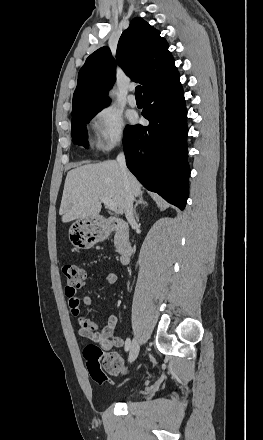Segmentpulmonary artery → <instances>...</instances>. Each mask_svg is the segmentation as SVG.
<instances>
[{
    "label": "pulmonary artery",
    "instance_id": "e3ab8cb5",
    "mask_svg": "<svg viewBox=\"0 0 263 440\" xmlns=\"http://www.w3.org/2000/svg\"><path fill=\"white\" fill-rule=\"evenodd\" d=\"M127 101H128V104H129L131 107H136V105H137V101H136V98H135V96H134L133 94H129V95H128V97H127Z\"/></svg>",
    "mask_w": 263,
    "mask_h": 440
}]
</instances>
